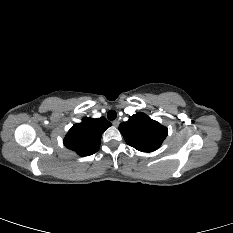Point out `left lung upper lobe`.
Returning a JSON list of instances; mask_svg holds the SVG:
<instances>
[{
  "label": "left lung upper lobe",
  "mask_w": 233,
  "mask_h": 233,
  "mask_svg": "<svg viewBox=\"0 0 233 233\" xmlns=\"http://www.w3.org/2000/svg\"><path fill=\"white\" fill-rule=\"evenodd\" d=\"M126 143L142 152L157 150L168 134L166 127L139 112L119 126Z\"/></svg>",
  "instance_id": "obj_1"
}]
</instances>
